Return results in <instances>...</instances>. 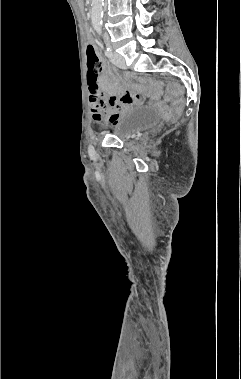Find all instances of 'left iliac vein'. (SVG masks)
<instances>
[{"label": "left iliac vein", "instance_id": "obj_1", "mask_svg": "<svg viewBox=\"0 0 241 379\" xmlns=\"http://www.w3.org/2000/svg\"><path fill=\"white\" fill-rule=\"evenodd\" d=\"M111 60L119 68L125 69L127 67L124 57L120 54L114 53Z\"/></svg>", "mask_w": 241, "mask_h": 379}]
</instances>
